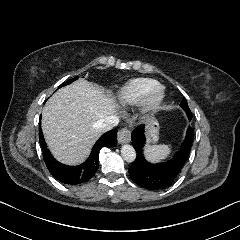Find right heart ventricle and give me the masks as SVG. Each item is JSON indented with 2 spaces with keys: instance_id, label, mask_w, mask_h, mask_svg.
I'll use <instances>...</instances> for the list:
<instances>
[{
  "instance_id": "1",
  "label": "right heart ventricle",
  "mask_w": 240,
  "mask_h": 240,
  "mask_svg": "<svg viewBox=\"0 0 240 240\" xmlns=\"http://www.w3.org/2000/svg\"><path fill=\"white\" fill-rule=\"evenodd\" d=\"M156 86L157 82L151 79L132 80L113 91L114 101L119 108L139 104Z\"/></svg>"
}]
</instances>
